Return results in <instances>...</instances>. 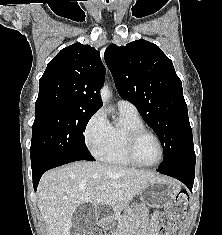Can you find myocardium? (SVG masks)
<instances>
[{
	"label": "myocardium",
	"mask_w": 222,
	"mask_h": 235,
	"mask_svg": "<svg viewBox=\"0 0 222 235\" xmlns=\"http://www.w3.org/2000/svg\"><path fill=\"white\" fill-rule=\"evenodd\" d=\"M145 136L153 137L156 140V142L158 143V146L160 149L159 159L156 162L151 163V164H146V163L141 162L137 158V154H136L137 145L140 142V140ZM124 151H125L127 158L129 159V161L132 164L139 166V167L157 166L158 164H160L162 162L164 155H165L164 146H163V143H162L161 139L159 138V136L145 127L144 128H134V129L127 131V133L125 135Z\"/></svg>",
	"instance_id": "1"
}]
</instances>
